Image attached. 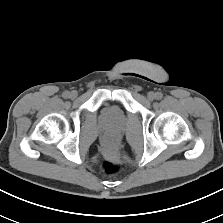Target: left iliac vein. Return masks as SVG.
I'll use <instances>...</instances> for the list:
<instances>
[{
    "mask_svg": "<svg viewBox=\"0 0 223 223\" xmlns=\"http://www.w3.org/2000/svg\"><path fill=\"white\" fill-rule=\"evenodd\" d=\"M155 97H156V94H155L154 92H149V93L147 94V98H148V100H150V101H153V100L155 99Z\"/></svg>",
    "mask_w": 223,
    "mask_h": 223,
    "instance_id": "obj_1",
    "label": "left iliac vein"
}]
</instances>
